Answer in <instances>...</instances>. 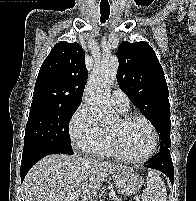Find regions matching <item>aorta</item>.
I'll return each instance as SVG.
<instances>
[{"instance_id": "762f6f07", "label": "aorta", "mask_w": 196, "mask_h": 201, "mask_svg": "<svg viewBox=\"0 0 196 201\" xmlns=\"http://www.w3.org/2000/svg\"><path fill=\"white\" fill-rule=\"evenodd\" d=\"M118 66L119 62L115 55L99 59L86 87L85 102L94 117L102 123H109L116 117L110 102V89L116 78Z\"/></svg>"}]
</instances>
